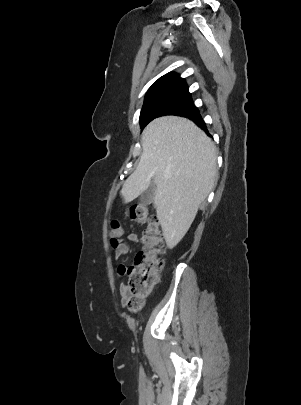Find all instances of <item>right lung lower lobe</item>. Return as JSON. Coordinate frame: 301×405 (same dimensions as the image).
Listing matches in <instances>:
<instances>
[{
	"mask_svg": "<svg viewBox=\"0 0 301 405\" xmlns=\"http://www.w3.org/2000/svg\"><path fill=\"white\" fill-rule=\"evenodd\" d=\"M180 116H184V117H187V118L193 120L201 129L208 132L206 124L203 121V119L201 118V115H200L198 109L187 112V113H183Z\"/></svg>",
	"mask_w": 301,
	"mask_h": 405,
	"instance_id": "1",
	"label": "right lung lower lobe"
}]
</instances>
